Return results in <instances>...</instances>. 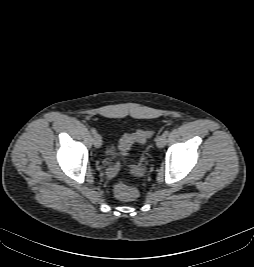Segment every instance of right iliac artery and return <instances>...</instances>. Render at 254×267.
I'll use <instances>...</instances> for the list:
<instances>
[{
	"mask_svg": "<svg viewBox=\"0 0 254 267\" xmlns=\"http://www.w3.org/2000/svg\"><path fill=\"white\" fill-rule=\"evenodd\" d=\"M91 133L95 135L97 133L96 129L95 128H91Z\"/></svg>",
	"mask_w": 254,
	"mask_h": 267,
	"instance_id": "right-iliac-artery-1",
	"label": "right iliac artery"
}]
</instances>
